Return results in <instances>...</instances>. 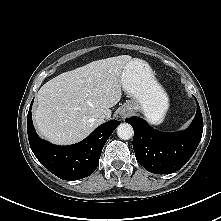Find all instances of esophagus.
Instances as JSON below:
<instances>
[{
    "label": "esophagus",
    "instance_id": "obj_1",
    "mask_svg": "<svg viewBox=\"0 0 221 221\" xmlns=\"http://www.w3.org/2000/svg\"><path fill=\"white\" fill-rule=\"evenodd\" d=\"M131 114V111L130 110H123V111H121L120 112V116H121V118H126V117H128L129 115Z\"/></svg>",
    "mask_w": 221,
    "mask_h": 221
}]
</instances>
